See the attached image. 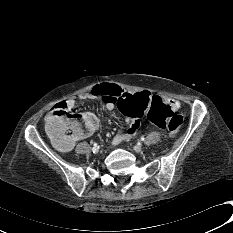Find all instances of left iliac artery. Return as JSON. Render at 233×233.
I'll return each instance as SVG.
<instances>
[{"mask_svg":"<svg viewBox=\"0 0 233 233\" xmlns=\"http://www.w3.org/2000/svg\"><path fill=\"white\" fill-rule=\"evenodd\" d=\"M145 140V138L144 137H141V141H144Z\"/></svg>","mask_w":233,"mask_h":233,"instance_id":"1","label":"left iliac artery"}]
</instances>
